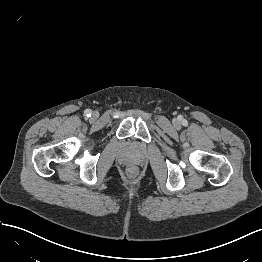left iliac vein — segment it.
Here are the masks:
<instances>
[{"label":"left iliac vein","instance_id":"1","mask_svg":"<svg viewBox=\"0 0 262 262\" xmlns=\"http://www.w3.org/2000/svg\"><path fill=\"white\" fill-rule=\"evenodd\" d=\"M174 125H175L176 127H178V126H179V122H178V121H175V122H174Z\"/></svg>","mask_w":262,"mask_h":262}]
</instances>
